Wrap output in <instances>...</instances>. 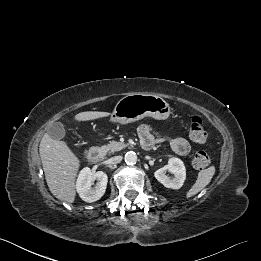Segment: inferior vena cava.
Instances as JSON below:
<instances>
[{
	"label": "inferior vena cava",
	"instance_id": "obj_1",
	"mask_svg": "<svg viewBox=\"0 0 261 261\" xmlns=\"http://www.w3.org/2000/svg\"><path fill=\"white\" fill-rule=\"evenodd\" d=\"M122 161V156H114L112 158L109 159V164H118Z\"/></svg>",
	"mask_w": 261,
	"mask_h": 261
}]
</instances>
